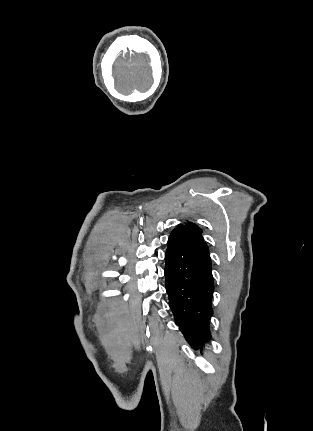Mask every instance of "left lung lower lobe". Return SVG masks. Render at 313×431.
Wrapping results in <instances>:
<instances>
[{"mask_svg": "<svg viewBox=\"0 0 313 431\" xmlns=\"http://www.w3.org/2000/svg\"><path fill=\"white\" fill-rule=\"evenodd\" d=\"M166 291L175 323L198 350L211 339L214 291L209 250L203 238L179 225L168 239L165 253Z\"/></svg>", "mask_w": 313, "mask_h": 431, "instance_id": "1", "label": "left lung lower lobe"}]
</instances>
